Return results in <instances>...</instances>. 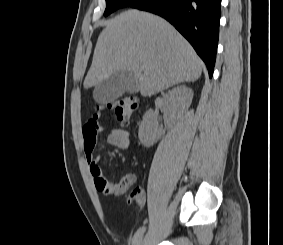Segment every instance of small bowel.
<instances>
[{
	"instance_id": "small-bowel-1",
	"label": "small bowel",
	"mask_w": 283,
	"mask_h": 245,
	"mask_svg": "<svg viewBox=\"0 0 283 245\" xmlns=\"http://www.w3.org/2000/svg\"><path fill=\"white\" fill-rule=\"evenodd\" d=\"M103 127L97 118L89 119L82 128L83 148L86 161L89 165L95 188L105 196L123 195L133 182L132 176L124 177L119 182H110L106 179L99 165L100 156L94 154L96 138ZM106 143L121 150H126L130 146V132L125 129H109L106 137Z\"/></svg>"
}]
</instances>
